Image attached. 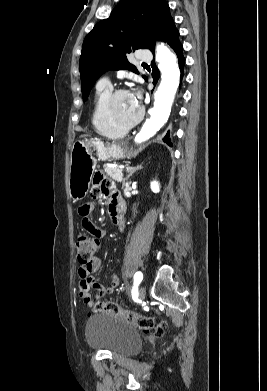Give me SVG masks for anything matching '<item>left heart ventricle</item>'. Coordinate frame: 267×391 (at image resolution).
Returning a JSON list of instances; mask_svg holds the SVG:
<instances>
[{
  "instance_id": "1",
  "label": "left heart ventricle",
  "mask_w": 267,
  "mask_h": 391,
  "mask_svg": "<svg viewBox=\"0 0 267 391\" xmlns=\"http://www.w3.org/2000/svg\"><path fill=\"white\" fill-rule=\"evenodd\" d=\"M140 108L135 104L130 93L118 96L114 103L116 117L124 123L130 122L137 117Z\"/></svg>"
}]
</instances>
